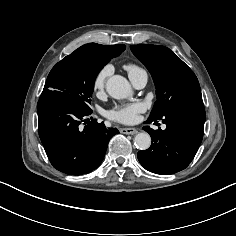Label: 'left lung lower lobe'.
<instances>
[{
	"mask_svg": "<svg viewBox=\"0 0 236 236\" xmlns=\"http://www.w3.org/2000/svg\"><path fill=\"white\" fill-rule=\"evenodd\" d=\"M206 114L203 101L189 100L167 111L165 130L144 126L152 144L137 154L141 165L156 174H174L185 169L196 155L203 138ZM158 122L148 119L146 123Z\"/></svg>",
	"mask_w": 236,
	"mask_h": 236,
	"instance_id": "obj_1",
	"label": "left lung lower lobe"
}]
</instances>
